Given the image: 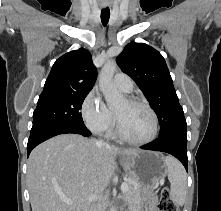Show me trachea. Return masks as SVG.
<instances>
[{"label": "trachea", "instance_id": "3493384b", "mask_svg": "<svg viewBox=\"0 0 221 211\" xmlns=\"http://www.w3.org/2000/svg\"><path fill=\"white\" fill-rule=\"evenodd\" d=\"M109 18H110V10L109 8H106V9H102L101 10V22L104 26L107 25L108 21H109Z\"/></svg>", "mask_w": 221, "mask_h": 211}]
</instances>
